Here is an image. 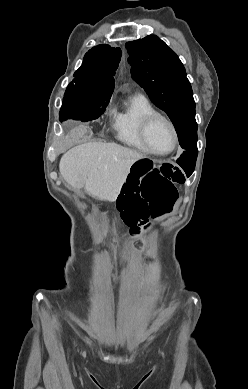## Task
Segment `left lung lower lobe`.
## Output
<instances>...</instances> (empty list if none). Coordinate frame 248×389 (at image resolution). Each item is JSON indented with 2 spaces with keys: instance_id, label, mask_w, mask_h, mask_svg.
<instances>
[{
  "instance_id": "1",
  "label": "left lung lower lobe",
  "mask_w": 248,
  "mask_h": 389,
  "mask_svg": "<svg viewBox=\"0 0 248 389\" xmlns=\"http://www.w3.org/2000/svg\"><path fill=\"white\" fill-rule=\"evenodd\" d=\"M184 127L186 133L192 137H197V123L195 120V116L189 117L184 122ZM197 147L186 150L181 154V156L176 160V162L183 168L187 177H189L195 168V163L197 159Z\"/></svg>"
}]
</instances>
